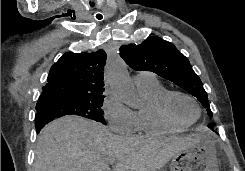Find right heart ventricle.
Returning <instances> with one entry per match:
<instances>
[{"label":"right heart ventricle","instance_id":"obj_1","mask_svg":"<svg viewBox=\"0 0 245 171\" xmlns=\"http://www.w3.org/2000/svg\"><path fill=\"white\" fill-rule=\"evenodd\" d=\"M137 88L144 99V105L134 112L137 120L136 132L161 135L179 132L183 129L168 124L159 115L158 100L166 89L158 80L137 85Z\"/></svg>","mask_w":245,"mask_h":171}]
</instances>
